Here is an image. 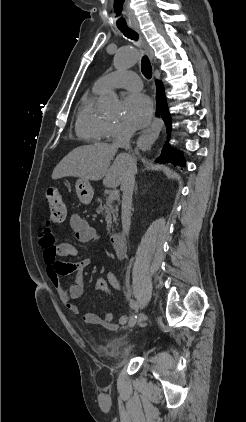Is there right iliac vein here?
<instances>
[{
	"label": "right iliac vein",
	"instance_id": "63e3f726",
	"mask_svg": "<svg viewBox=\"0 0 246 422\" xmlns=\"http://www.w3.org/2000/svg\"><path fill=\"white\" fill-rule=\"evenodd\" d=\"M146 319H147L146 314H145V313H141V314L139 315V317H138L137 323H138V324H141V323H143Z\"/></svg>",
	"mask_w": 246,
	"mask_h": 422
}]
</instances>
